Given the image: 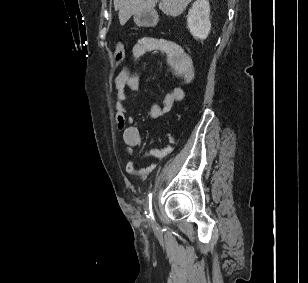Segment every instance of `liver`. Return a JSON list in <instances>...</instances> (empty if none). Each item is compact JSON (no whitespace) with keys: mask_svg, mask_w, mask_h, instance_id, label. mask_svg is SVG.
Masks as SVG:
<instances>
[{"mask_svg":"<svg viewBox=\"0 0 308 283\" xmlns=\"http://www.w3.org/2000/svg\"><path fill=\"white\" fill-rule=\"evenodd\" d=\"M192 0H161L159 9L168 16L180 15ZM158 0H114L115 9L119 10V21L124 25L132 15L150 11Z\"/></svg>","mask_w":308,"mask_h":283,"instance_id":"obj_1","label":"liver"}]
</instances>
